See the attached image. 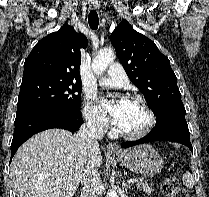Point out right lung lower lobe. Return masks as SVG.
<instances>
[{
    "mask_svg": "<svg viewBox=\"0 0 209 197\" xmlns=\"http://www.w3.org/2000/svg\"><path fill=\"white\" fill-rule=\"evenodd\" d=\"M14 124L11 158L17 149L34 134L50 128H62L74 132L83 124V119L80 110L53 108L18 116L15 118Z\"/></svg>",
    "mask_w": 209,
    "mask_h": 197,
    "instance_id": "obj_1",
    "label": "right lung lower lobe"
}]
</instances>
